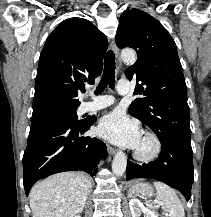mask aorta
Here are the masks:
<instances>
[{
	"label": "aorta",
	"mask_w": 211,
	"mask_h": 217,
	"mask_svg": "<svg viewBox=\"0 0 211 217\" xmlns=\"http://www.w3.org/2000/svg\"><path fill=\"white\" fill-rule=\"evenodd\" d=\"M121 59L128 63L133 64L136 61V54L133 50H123L121 52ZM127 157L122 151L117 152L112 162V171L115 175H123L126 171Z\"/></svg>",
	"instance_id": "762f6f07"
}]
</instances>
